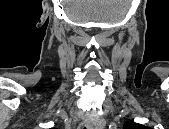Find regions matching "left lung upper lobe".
Segmentation results:
<instances>
[{
	"label": "left lung upper lobe",
	"instance_id": "left-lung-upper-lobe-1",
	"mask_svg": "<svg viewBox=\"0 0 169 129\" xmlns=\"http://www.w3.org/2000/svg\"><path fill=\"white\" fill-rule=\"evenodd\" d=\"M124 129H145L146 127L132 121H128L123 126Z\"/></svg>",
	"mask_w": 169,
	"mask_h": 129
}]
</instances>
